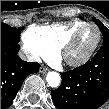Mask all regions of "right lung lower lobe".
<instances>
[{
    "instance_id": "98d812e1",
    "label": "right lung lower lobe",
    "mask_w": 109,
    "mask_h": 109,
    "mask_svg": "<svg viewBox=\"0 0 109 109\" xmlns=\"http://www.w3.org/2000/svg\"><path fill=\"white\" fill-rule=\"evenodd\" d=\"M19 48V44L1 37V109L12 103L28 75L39 71L40 64L17 56Z\"/></svg>"
}]
</instances>
